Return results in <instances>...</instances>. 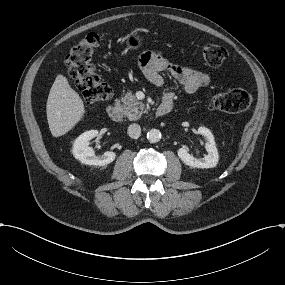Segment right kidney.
<instances>
[{
  "label": "right kidney",
  "instance_id": "1",
  "mask_svg": "<svg viewBox=\"0 0 285 285\" xmlns=\"http://www.w3.org/2000/svg\"><path fill=\"white\" fill-rule=\"evenodd\" d=\"M97 135V130L86 131L73 143L72 153L83 164L104 166L115 160L114 152L107 151L102 156H96L93 148L89 147V141Z\"/></svg>",
  "mask_w": 285,
  "mask_h": 285
}]
</instances>
